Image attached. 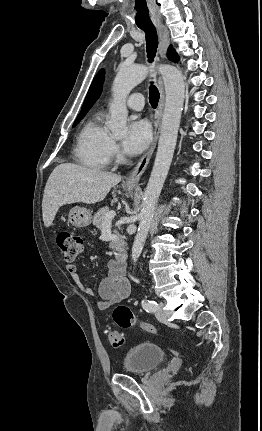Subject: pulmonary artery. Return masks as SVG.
Here are the masks:
<instances>
[{
  "mask_svg": "<svg viewBox=\"0 0 262 431\" xmlns=\"http://www.w3.org/2000/svg\"><path fill=\"white\" fill-rule=\"evenodd\" d=\"M126 105L135 111H141L144 108V96L141 93H133L126 100Z\"/></svg>",
  "mask_w": 262,
  "mask_h": 431,
  "instance_id": "pulmonary-artery-1",
  "label": "pulmonary artery"
}]
</instances>
